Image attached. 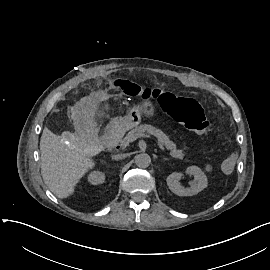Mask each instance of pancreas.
<instances>
[{"label": "pancreas", "instance_id": "cf45deb5", "mask_svg": "<svg viewBox=\"0 0 270 270\" xmlns=\"http://www.w3.org/2000/svg\"><path fill=\"white\" fill-rule=\"evenodd\" d=\"M132 132L137 134L138 136L142 135L143 132H147L155 136L158 139V141L170 151L171 157L179 160H183L185 158L183 150L178 149L176 144L173 141H171L161 130L156 129L151 125L143 124L140 126H136L132 130Z\"/></svg>", "mask_w": 270, "mask_h": 270}]
</instances>
